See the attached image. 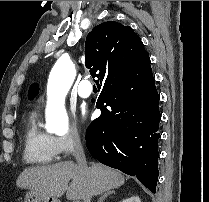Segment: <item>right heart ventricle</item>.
Wrapping results in <instances>:
<instances>
[{"instance_id":"right-heart-ventricle-1","label":"right heart ventricle","mask_w":209,"mask_h":202,"mask_svg":"<svg viewBox=\"0 0 209 202\" xmlns=\"http://www.w3.org/2000/svg\"><path fill=\"white\" fill-rule=\"evenodd\" d=\"M23 155L29 164H49L58 159L53 137L39 128L37 118H32L25 128Z\"/></svg>"}]
</instances>
